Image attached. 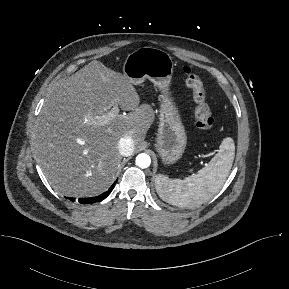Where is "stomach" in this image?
Returning <instances> with one entry per match:
<instances>
[{
	"mask_svg": "<svg viewBox=\"0 0 289 289\" xmlns=\"http://www.w3.org/2000/svg\"><path fill=\"white\" fill-rule=\"evenodd\" d=\"M174 71L172 57L154 47H141L130 53L123 65V74L134 85L150 80L160 91V114L155 148L164 165L176 163L187 144L185 127L172 97L170 85Z\"/></svg>",
	"mask_w": 289,
	"mask_h": 289,
	"instance_id": "stomach-1",
	"label": "stomach"
}]
</instances>
